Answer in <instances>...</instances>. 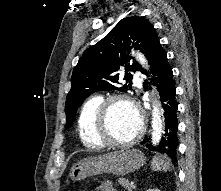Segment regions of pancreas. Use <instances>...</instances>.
Instances as JSON below:
<instances>
[{
    "label": "pancreas",
    "mask_w": 221,
    "mask_h": 191,
    "mask_svg": "<svg viewBox=\"0 0 221 191\" xmlns=\"http://www.w3.org/2000/svg\"><path fill=\"white\" fill-rule=\"evenodd\" d=\"M118 182L121 186H123L127 191H132V185L130 184L128 179L119 178Z\"/></svg>",
    "instance_id": "pancreas-1"
}]
</instances>
